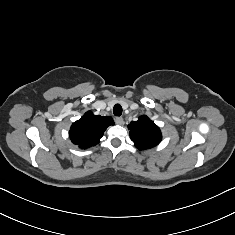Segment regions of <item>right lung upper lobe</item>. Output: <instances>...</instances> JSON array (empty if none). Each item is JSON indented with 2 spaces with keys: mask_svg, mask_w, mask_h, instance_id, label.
<instances>
[{
  "mask_svg": "<svg viewBox=\"0 0 235 235\" xmlns=\"http://www.w3.org/2000/svg\"><path fill=\"white\" fill-rule=\"evenodd\" d=\"M110 125H114L111 117L94 115L88 111L81 119L72 124L69 132L70 139L80 148L95 146Z\"/></svg>",
  "mask_w": 235,
  "mask_h": 235,
  "instance_id": "cb5924a9",
  "label": "right lung upper lobe"
}]
</instances>
